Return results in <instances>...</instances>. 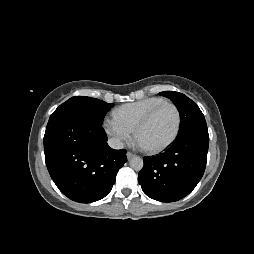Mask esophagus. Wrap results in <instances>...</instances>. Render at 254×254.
<instances>
[{
    "label": "esophagus",
    "mask_w": 254,
    "mask_h": 254,
    "mask_svg": "<svg viewBox=\"0 0 254 254\" xmlns=\"http://www.w3.org/2000/svg\"><path fill=\"white\" fill-rule=\"evenodd\" d=\"M127 159L128 160H130L132 157H134L135 156V154L134 153H131V152H127Z\"/></svg>",
    "instance_id": "esophagus-1"
}]
</instances>
